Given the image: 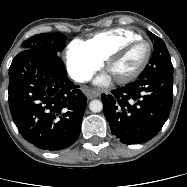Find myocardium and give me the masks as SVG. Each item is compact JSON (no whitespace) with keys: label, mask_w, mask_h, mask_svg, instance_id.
Instances as JSON below:
<instances>
[{"label":"myocardium","mask_w":187,"mask_h":187,"mask_svg":"<svg viewBox=\"0 0 187 187\" xmlns=\"http://www.w3.org/2000/svg\"><path fill=\"white\" fill-rule=\"evenodd\" d=\"M137 42H143L147 45V54H146L143 62L141 63V65L135 71H133L132 73H130L126 76L115 78V80L119 83L130 82V81L136 79L138 76H140L142 74V72L147 67V65L150 61L151 55H152V44H151V42L144 37H138V38L130 39L128 41H125L121 45H119L114 50H112L105 58V67L108 70L110 64L114 60L119 58L130 46H132L133 44H135Z\"/></svg>","instance_id":"obj_1"}]
</instances>
